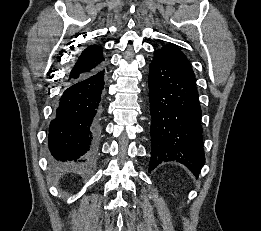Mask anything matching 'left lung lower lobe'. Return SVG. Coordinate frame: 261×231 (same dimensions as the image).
Returning a JSON list of instances; mask_svg holds the SVG:
<instances>
[{
    "mask_svg": "<svg viewBox=\"0 0 261 231\" xmlns=\"http://www.w3.org/2000/svg\"><path fill=\"white\" fill-rule=\"evenodd\" d=\"M149 71V171L162 161H177L198 177L205 163V154L196 83L157 54H154Z\"/></svg>",
    "mask_w": 261,
    "mask_h": 231,
    "instance_id": "0a47b994",
    "label": "left lung lower lobe"
}]
</instances>
